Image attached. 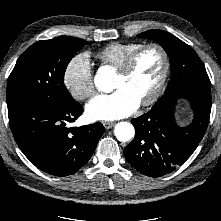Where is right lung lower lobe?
I'll use <instances>...</instances> for the list:
<instances>
[{
  "label": "right lung lower lobe",
  "instance_id": "right-lung-lower-lobe-1",
  "mask_svg": "<svg viewBox=\"0 0 221 221\" xmlns=\"http://www.w3.org/2000/svg\"><path fill=\"white\" fill-rule=\"evenodd\" d=\"M82 112L75 100L47 104L32 98L8 104L10 128L21 151L37 168L59 177L83 167L104 132L100 122L68 128Z\"/></svg>",
  "mask_w": 221,
  "mask_h": 221
}]
</instances>
